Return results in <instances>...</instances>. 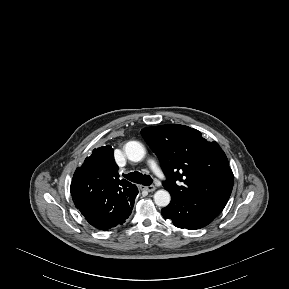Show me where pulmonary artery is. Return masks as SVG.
<instances>
[{
    "label": "pulmonary artery",
    "instance_id": "pulmonary-artery-1",
    "mask_svg": "<svg viewBox=\"0 0 289 289\" xmlns=\"http://www.w3.org/2000/svg\"><path fill=\"white\" fill-rule=\"evenodd\" d=\"M149 165L158 177H160V178L164 177L162 170L160 169L159 165L157 164V162L154 159H151L149 161Z\"/></svg>",
    "mask_w": 289,
    "mask_h": 289
}]
</instances>
